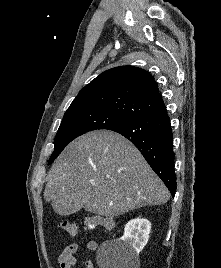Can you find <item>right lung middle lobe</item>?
Instances as JSON below:
<instances>
[{"instance_id":"1","label":"right lung middle lobe","mask_w":221,"mask_h":268,"mask_svg":"<svg viewBox=\"0 0 221 268\" xmlns=\"http://www.w3.org/2000/svg\"><path fill=\"white\" fill-rule=\"evenodd\" d=\"M126 118L114 112L102 109H90L65 113L55 137L54 152L48 163H51L76 137L97 129H109Z\"/></svg>"}]
</instances>
